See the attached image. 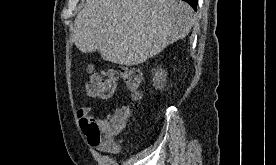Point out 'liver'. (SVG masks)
Masks as SVG:
<instances>
[{
  "mask_svg": "<svg viewBox=\"0 0 276 165\" xmlns=\"http://www.w3.org/2000/svg\"><path fill=\"white\" fill-rule=\"evenodd\" d=\"M193 24V9L181 0H86L73 41L83 53L134 66L186 37Z\"/></svg>",
  "mask_w": 276,
  "mask_h": 165,
  "instance_id": "1",
  "label": "liver"
}]
</instances>
